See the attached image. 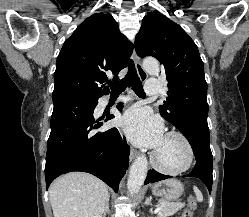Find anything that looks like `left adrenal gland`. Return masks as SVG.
Wrapping results in <instances>:
<instances>
[{
  "label": "left adrenal gland",
  "instance_id": "1",
  "mask_svg": "<svg viewBox=\"0 0 249 217\" xmlns=\"http://www.w3.org/2000/svg\"><path fill=\"white\" fill-rule=\"evenodd\" d=\"M145 205H150V206H152L151 197H147V198H146V200H145ZM149 212L152 214V213H153V208H151Z\"/></svg>",
  "mask_w": 249,
  "mask_h": 217
}]
</instances>
